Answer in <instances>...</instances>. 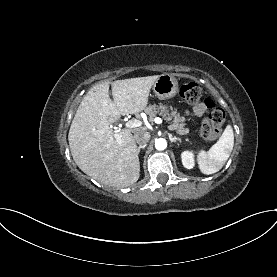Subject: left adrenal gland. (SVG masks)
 Wrapping results in <instances>:
<instances>
[{"mask_svg":"<svg viewBox=\"0 0 277 277\" xmlns=\"http://www.w3.org/2000/svg\"><path fill=\"white\" fill-rule=\"evenodd\" d=\"M169 139L171 142H181V139L180 138H177V137H173L171 134H169Z\"/></svg>","mask_w":277,"mask_h":277,"instance_id":"left-adrenal-gland-1","label":"left adrenal gland"}]
</instances>
